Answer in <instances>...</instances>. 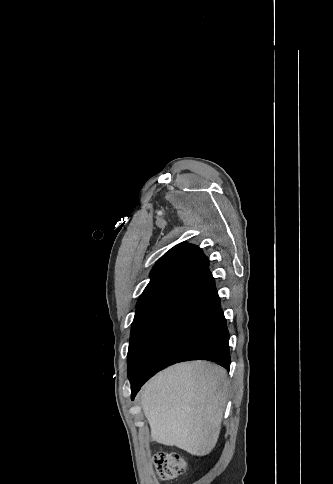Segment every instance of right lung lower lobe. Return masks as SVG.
<instances>
[{
	"label": "right lung lower lobe",
	"instance_id": "98d812e1",
	"mask_svg": "<svg viewBox=\"0 0 333 484\" xmlns=\"http://www.w3.org/2000/svg\"><path fill=\"white\" fill-rule=\"evenodd\" d=\"M229 333L208 271L160 301L148 322L130 378L131 398L155 373L176 362L203 359L230 368Z\"/></svg>",
	"mask_w": 333,
	"mask_h": 484
}]
</instances>
